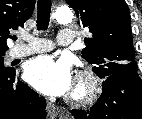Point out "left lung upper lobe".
Here are the masks:
<instances>
[{
	"label": "left lung upper lobe",
	"mask_w": 142,
	"mask_h": 119,
	"mask_svg": "<svg viewBox=\"0 0 142 119\" xmlns=\"http://www.w3.org/2000/svg\"><path fill=\"white\" fill-rule=\"evenodd\" d=\"M81 27L93 34L85 38L82 57L100 78L129 69L138 70L125 0H66Z\"/></svg>",
	"instance_id": "1"
}]
</instances>
